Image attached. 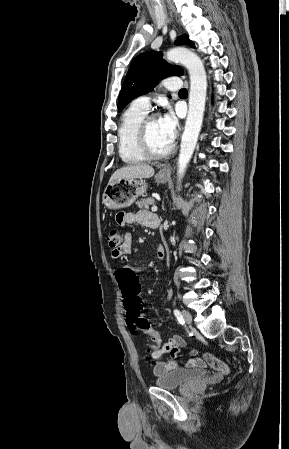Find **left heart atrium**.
Listing matches in <instances>:
<instances>
[{
    "label": "left heart atrium",
    "mask_w": 289,
    "mask_h": 449,
    "mask_svg": "<svg viewBox=\"0 0 289 449\" xmlns=\"http://www.w3.org/2000/svg\"><path fill=\"white\" fill-rule=\"evenodd\" d=\"M159 121L167 136L174 141L177 133L178 122L173 112L171 110H167Z\"/></svg>",
    "instance_id": "left-heart-atrium-1"
}]
</instances>
